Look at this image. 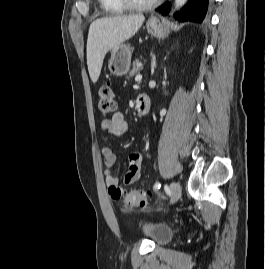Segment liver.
<instances>
[{
  "mask_svg": "<svg viewBox=\"0 0 265 269\" xmlns=\"http://www.w3.org/2000/svg\"><path fill=\"white\" fill-rule=\"evenodd\" d=\"M144 20L138 14L103 17L92 22L87 39V66L93 83L100 76L106 53L133 37Z\"/></svg>",
  "mask_w": 265,
  "mask_h": 269,
  "instance_id": "1",
  "label": "liver"
}]
</instances>
